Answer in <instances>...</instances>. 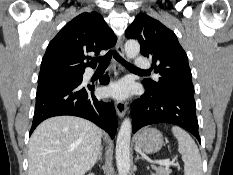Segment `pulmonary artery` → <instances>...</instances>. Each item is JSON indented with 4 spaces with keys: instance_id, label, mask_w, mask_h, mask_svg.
Returning a JSON list of instances; mask_svg holds the SVG:
<instances>
[{
    "instance_id": "e3ab8cb5",
    "label": "pulmonary artery",
    "mask_w": 233,
    "mask_h": 175,
    "mask_svg": "<svg viewBox=\"0 0 233 175\" xmlns=\"http://www.w3.org/2000/svg\"><path fill=\"white\" fill-rule=\"evenodd\" d=\"M135 66L139 69H149L150 62L142 57L135 58Z\"/></svg>"
}]
</instances>
